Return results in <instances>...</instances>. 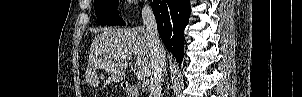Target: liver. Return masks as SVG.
<instances>
[{
    "label": "liver",
    "instance_id": "6515ba94",
    "mask_svg": "<svg viewBox=\"0 0 302 97\" xmlns=\"http://www.w3.org/2000/svg\"><path fill=\"white\" fill-rule=\"evenodd\" d=\"M135 57L136 64L149 77L152 50L144 27L117 29L104 28L92 41L86 74L94 86L98 85L97 69H104L110 76L107 83L122 81L128 62L121 56Z\"/></svg>",
    "mask_w": 302,
    "mask_h": 97
}]
</instances>
